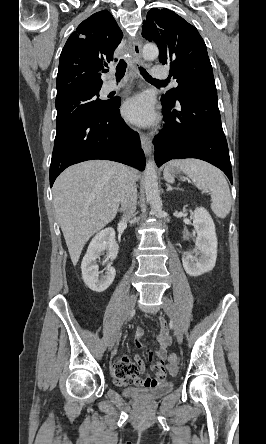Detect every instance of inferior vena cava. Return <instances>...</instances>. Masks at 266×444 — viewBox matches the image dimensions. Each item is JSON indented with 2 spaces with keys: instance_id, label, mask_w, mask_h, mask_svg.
<instances>
[{
  "instance_id": "602c4592",
  "label": "inferior vena cava",
  "mask_w": 266,
  "mask_h": 444,
  "mask_svg": "<svg viewBox=\"0 0 266 444\" xmlns=\"http://www.w3.org/2000/svg\"><path fill=\"white\" fill-rule=\"evenodd\" d=\"M120 202L124 217L131 219L136 211L137 187L134 177L126 167L122 174Z\"/></svg>"
}]
</instances>
